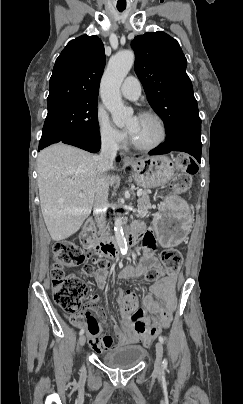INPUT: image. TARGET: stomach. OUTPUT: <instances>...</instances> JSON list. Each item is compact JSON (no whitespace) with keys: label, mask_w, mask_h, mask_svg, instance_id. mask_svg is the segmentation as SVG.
I'll list each match as a JSON object with an SVG mask.
<instances>
[{"label":"stomach","mask_w":243,"mask_h":404,"mask_svg":"<svg viewBox=\"0 0 243 404\" xmlns=\"http://www.w3.org/2000/svg\"><path fill=\"white\" fill-rule=\"evenodd\" d=\"M133 179L144 188L167 184L175 173L173 161L166 156L140 158L131 163ZM192 215L188 204L177 196H169L154 216V227L164 247L180 244L190 230Z\"/></svg>","instance_id":"obj_1"}]
</instances>
